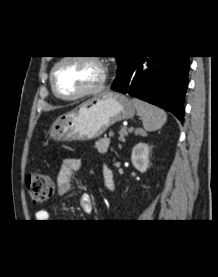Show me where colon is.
I'll return each instance as SVG.
<instances>
[{
	"label": "colon",
	"instance_id": "colon-1",
	"mask_svg": "<svg viewBox=\"0 0 218 277\" xmlns=\"http://www.w3.org/2000/svg\"><path fill=\"white\" fill-rule=\"evenodd\" d=\"M27 189L30 200L35 204H40L52 196L54 181L48 174L32 173L27 179Z\"/></svg>",
	"mask_w": 218,
	"mask_h": 277
}]
</instances>
